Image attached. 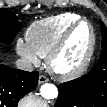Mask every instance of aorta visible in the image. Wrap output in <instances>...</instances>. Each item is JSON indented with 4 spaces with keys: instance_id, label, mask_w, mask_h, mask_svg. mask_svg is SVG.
<instances>
[{
    "instance_id": "1",
    "label": "aorta",
    "mask_w": 107,
    "mask_h": 107,
    "mask_svg": "<svg viewBox=\"0 0 107 107\" xmlns=\"http://www.w3.org/2000/svg\"><path fill=\"white\" fill-rule=\"evenodd\" d=\"M40 94L47 100L55 99L58 96V89L54 84L45 83L40 88Z\"/></svg>"
}]
</instances>
